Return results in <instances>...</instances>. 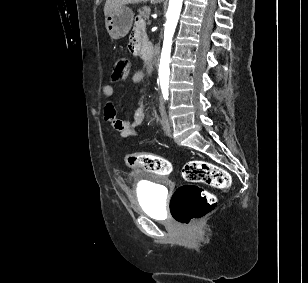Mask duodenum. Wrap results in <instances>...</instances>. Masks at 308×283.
<instances>
[{"mask_svg":"<svg viewBox=\"0 0 308 283\" xmlns=\"http://www.w3.org/2000/svg\"><path fill=\"white\" fill-rule=\"evenodd\" d=\"M143 61L151 62L153 55L156 53V50L153 47V44L149 38H146L143 42Z\"/></svg>","mask_w":308,"mask_h":283,"instance_id":"1","label":"duodenum"}]
</instances>
